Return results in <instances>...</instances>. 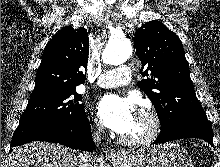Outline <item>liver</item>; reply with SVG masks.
<instances>
[{
    "label": "liver",
    "instance_id": "obj_1",
    "mask_svg": "<svg viewBox=\"0 0 220 167\" xmlns=\"http://www.w3.org/2000/svg\"><path fill=\"white\" fill-rule=\"evenodd\" d=\"M59 144L31 142L15 148L9 155L6 167H78V155ZM96 159L94 167H100Z\"/></svg>",
    "mask_w": 220,
    "mask_h": 167
}]
</instances>
